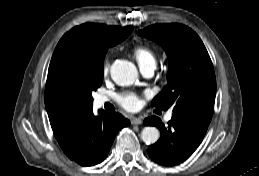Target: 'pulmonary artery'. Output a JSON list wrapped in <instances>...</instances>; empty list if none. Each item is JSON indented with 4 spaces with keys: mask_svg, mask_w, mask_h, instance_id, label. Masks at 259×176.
Listing matches in <instances>:
<instances>
[{
    "mask_svg": "<svg viewBox=\"0 0 259 176\" xmlns=\"http://www.w3.org/2000/svg\"><path fill=\"white\" fill-rule=\"evenodd\" d=\"M156 66L155 65H148V66H143L140 67V70L142 72V74L146 77H150L154 74ZM108 101V98L106 96H98L97 97V104L98 105H103L104 103H106ZM172 118V112H168L165 115V120L169 121Z\"/></svg>",
    "mask_w": 259,
    "mask_h": 176,
    "instance_id": "pulmonary-artery-1",
    "label": "pulmonary artery"
}]
</instances>
